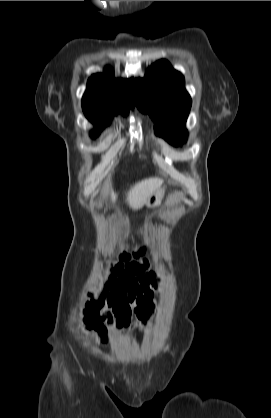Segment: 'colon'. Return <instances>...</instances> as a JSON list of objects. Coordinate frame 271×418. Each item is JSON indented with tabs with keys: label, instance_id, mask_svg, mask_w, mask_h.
<instances>
[{
	"label": "colon",
	"instance_id": "5ec220e1",
	"mask_svg": "<svg viewBox=\"0 0 271 418\" xmlns=\"http://www.w3.org/2000/svg\"><path fill=\"white\" fill-rule=\"evenodd\" d=\"M125 258H126V256H125ZM129 316H130V314H128ZM124 324H126V323H124ZM94 326L96 327V328H98L99 327V324L96 322V323H94Z\"/></svg>",
	"mask_w": 271,
	"mask_h": 418
}]
</instances>
